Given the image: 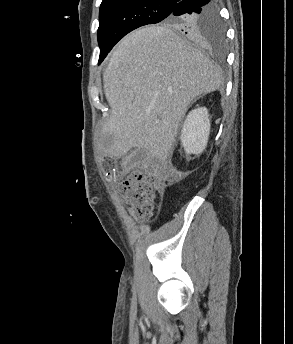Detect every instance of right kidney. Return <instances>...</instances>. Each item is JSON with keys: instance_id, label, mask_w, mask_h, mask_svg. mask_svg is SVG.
Listing matches in <instances>:
<instances>
[{"instance_id": "right-kidney-1", "label": "right kidney", "mask_w": 293, "mask_h": 344, "mask_svg": "<svg viewBox=\"0 0 293 344\" xmlns=\"http://www.w3.org/2000/svg\"><path fill=\"white\" fill-rule=\"evenodd\" d=\"M209 134L210 120L207 108L199 107L190 111L184 121L180 137L186 154L202 153L207 146Z\"/></svg>"}]
</instances>
